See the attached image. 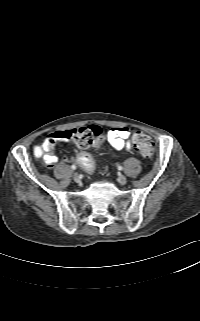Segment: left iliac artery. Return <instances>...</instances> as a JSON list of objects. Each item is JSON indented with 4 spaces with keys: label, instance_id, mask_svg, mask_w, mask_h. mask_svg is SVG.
<instances>
[{
    "label": "left iliac artery",
    "instance_id": "obj_1",
    "mask_svg": "<svg viewBox=\"0 0 200 321\" xmlns=\"http://www.w3.org/2000/svg\"><path fill=\"white\" fill-rule=\"evenodd\" d=\"M123 169V167L122 166H118V170H122Z\"/></svg>",
    "mask_w": 200,
    "mask_h": 321
}]
</instances>
